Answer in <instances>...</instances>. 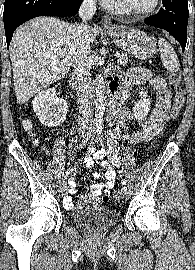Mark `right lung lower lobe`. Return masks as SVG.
<instances>
[{"label":"right lung lower lobe","mask_w":195,"mask_h":270,"mask_svg":"<svg viewBox=\"0 0 195 270\" xmlns=\"http://www.w3.org/2000/svg\"><path fill=\"white\" fill-rule=\"evenodd\" d=\"M83 0H5L4 27L9 48L13 32L22 23L38 16L75 15Z\"/></svg>","instance_id":"right-lung-lower-lobe-1"}]
</instances>
